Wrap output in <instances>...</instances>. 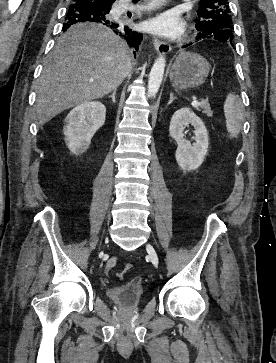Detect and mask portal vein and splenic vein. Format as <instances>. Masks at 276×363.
Segmentation results:
<instances>
[{"label": "portal vein and splenic vein", "mask_w": 276, "mask_h": 363, "mask_svg": "<svg viewBox=\"0 0 276 363\" xmlns=\"http://www.w3.org/2000/svg\"><path fill=\"white\" fill-rule=\"evenodd\" d=\"M192 106H194V107H198V106H200L201 104L196 100V99H194L193 101H192Z\"/></svg>", "instance_id": "18ae733b"}]
</instances>
